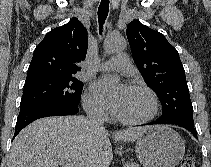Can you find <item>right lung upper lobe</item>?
I'll return each mask as SVG.
<instances>
[{
  "label": "right lung upper lobe",
  "mask_w": 211,
  "mask_h": 167,
  "mask_svg": "<svg viewBox=\"0 0 211 167\" xmlns=\"http://www.w3.org/2000/svg\"><path fill=\"white\" fill-rule=\"evenodd\" d=\"M88 47L83 24L72 18L67 24L46 34L35 48L26 80L41 77L74 76L81 71Z\"/></svg>",
  "instance_id": "right-lung-upper-lobe-1"
}]
</instances>
